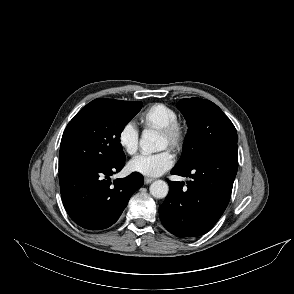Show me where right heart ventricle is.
Wrapping results in <instances>:
<instances>
[{"label":"right heart ventricle","mask_w":294,"mask_h":294,"mask_svg":"<svg viewBox=\"0 0 294 294\" xmlns=\"http://www.w3.org/2000/svg\"><path fill=\"white\" fill-rule=\"evenodd\" d=\"M176 121H178L177 112L163 103H155L149 106L139 116V122L145 130H160Z\"/></svg>","instance_id":"e07e8e85"}]
</instances>
